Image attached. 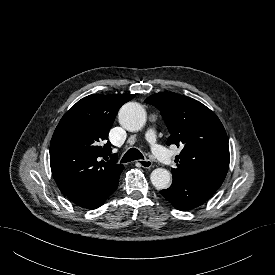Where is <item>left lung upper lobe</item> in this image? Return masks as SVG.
Masks as SVG:
<instances>
[{"label": "left lung upper lobe", "instance_id": "1", "mask_svg": "<svg viewBox=\"0 0 275 275\" xmlns=\"http://www.w3.org/2000/svg\"><path fill=\"white\" fill-rule=\"evenodd\" d=\"M160 112L170 132L167 145L183 149L176 156L173 177L193 180L218 190L229 167V146L225 129L205 105L173 92L151 95L145 100Z\"/></svg>", "mask_w": 275, "mask_h": 275}]
</instances>
